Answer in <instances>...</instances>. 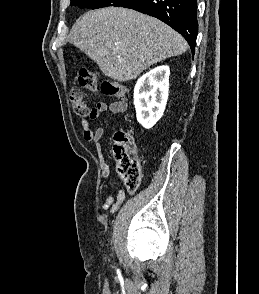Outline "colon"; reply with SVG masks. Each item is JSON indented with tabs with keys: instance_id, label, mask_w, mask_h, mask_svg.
<instances>
[{
	"instance_id": "colon-1",
	"label": "colon",
	"mask_w": 259,
	"mask_h": 294,
	"mask_svg": "<svg viewBox=\"0 0 259 294\" xmlns=\"http://www.w3.org/2000/svg\"><path fill=\"white\" fill-rule=\"evenodd\" d=\"M99 75L90 69H82L79 72L78 83L80 88L95 92L98 86ZM102 92L110 97L123 98L127 89L117 81L111 79L103 80L101 84ZM70 102L75 114L86 117L90 116L92 109L89 108L81 89L75 88L70 92ZM133 141L130 134L118 132L115 137L114 156L117 164V173L130 191L138 188L142 168L133 148Z\"/></svg>"
}]
</instances>
